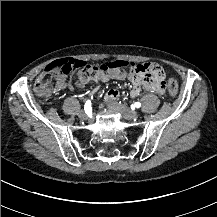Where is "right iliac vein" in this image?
Masks as SVG:
<instances>
[{
    "label": "right iliac vein",
    "instance_id": "63e3f726",
    "mask_svg": "<svg viewBox=\"0 0 217 217\" xmlns=\"http://www.w3.org/2000/svg\"><path fill=\"white\" fill-rule=\"evenodd\" d=\"M78 116L81 120H87L88 119V115L85 112H80L78 114Z\"/></svg>",
    "mask_w": 217,
    "mask_h": 217
}]
</instances>
